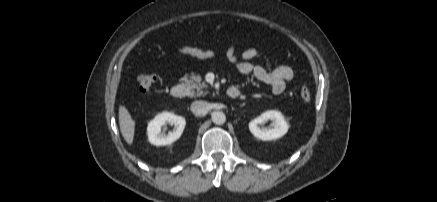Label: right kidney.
I'll return each instance as SVG.
<instances>
[{
  "mask_svg": "<svg viewBox=\"0 0 437 202\" xmlns=\"http://www.w3.org/2000/svg\"><path fill=\"white\" fill-rule=\"evenodd\" d=\"M174 125L172 132L167 135L161 132L162 126L165 124ZM186 121L182 116H177L173 113L163 112L157 115L147 127L149 142L156 146L169 145L180 138L185 128Z\"/></svg>",
  "mask_w": 437,
  "mask_h": 202,
  "instance_id": "1",
  "label": "right kidney"
}]
</instances>
